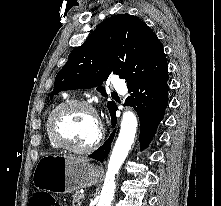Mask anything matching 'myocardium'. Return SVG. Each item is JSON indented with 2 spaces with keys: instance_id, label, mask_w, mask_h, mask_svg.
I'll return each instance as SVG.
<instances>
[{
  "instance_id": "obj_1",
  "label": "myocardium",
  "mask_w": 221,
  "mask_h": 206,
  "mask_svg": "<svg viewBox=\"0 0 221 206\" xmlns=\"http://www.w3.org/2000/svg\"><path fill=\"white\" fill-rule=\"evenodd\" d=\"M70 106H81L85 107L88 110L92 112L94 115L97 123H98V131H97V136L95 140L88 146L86 147H75L65 140H63L57 133L54 127V120L55 117L57 116L58 113H60L63 109L70 107ZM47 128H48V133L51 138V140L60 148L65 149L69 152H73L76 154H90L94 152L101 144L102 138H103V128H102V123L99 118L98 112L95 108V106L85 100V99H78V98H73V99H68L62 103H60L58 106H56L52 112L50 113L48 117V122H47Z\"/></svg>"
}]
</instances>
